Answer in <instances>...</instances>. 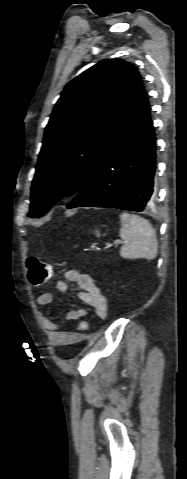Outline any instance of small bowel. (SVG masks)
Segmentation results:
<instances>
[{"label": "small bowel", "instance_id": "1", "mask_svg": "<svg viewBox=\"0 0 187 479\" xmlns=\"http://www.w3.org/2000/svg\"><path fill=\"white\" fill-rule=\"evenodd\" d=\"M67 282H73L78 287L77 297L84 304L92 307L97 316L101 319L107 317L108 301L107 298L101 293L100 289L94 284L92 278L88 274H84L75 269H69L65 272V280H59L56 282V290L58 292H67L69 286ZM54 296L50 292H44L37 297V303L45 306L53 302ZM87 315L84 308H76L71 310L66 315L67 322L77 321ZM39 319L42 325L48 330L51 338L54 341H61L66 332L60 331L58 324L46 317L43 313L39 314Z\"/></svg>", "mask_w": 187, "mask_h": 479}]
</instances>
